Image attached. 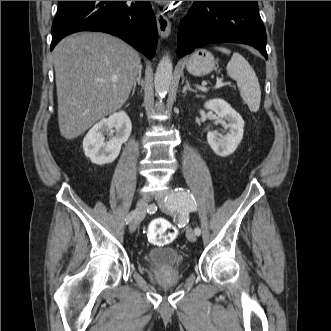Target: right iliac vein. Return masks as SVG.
Here are the masks:
<instances>
[{
  "label": "right iliac vein",
  "instance_id": "right-iliac-vein-1",
  "mask_svg": "<svg viewBox=\"0 0 331 331\" xmlns=\"http://www.w3.org/2000/svg\"><path fill=\"white\" fill-rule=\"evenodd\" d=\"M146 208H147V202H146L145 198H141L140 200H138L136 209H135V211H136L135 216L133 217V219L130 222V232H135V230L137 229L140 222L142 221V219L145 216Z\"/></svg>",
  "mask_w": 331,
  "mask_h": 331
}]
</instances>
